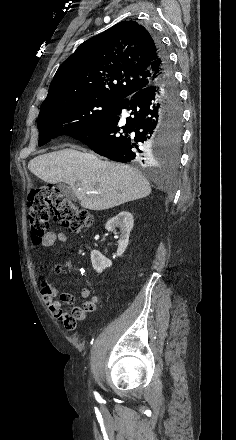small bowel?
I'll return each instance as SVG.
<instances>
[{"label": "small bowel", "instance_id": "small-bowel-1", "mask_svg": "<svg viewBox=\"0 0 236 440\" xmlns=\"http://www.w3.org/2000/svg\"><path fill=\"white\" fill-rule=\"evenodd\" d=\"M67 240L68 238L65 233L63 232L57 233L54 231H49L43 237L41 244L44 248H52L56 245V243L65 244ZM40 288H41L42 299L49 308L50 313L54 317L62 321V319H64L67 315H69L75 320V321H64L63 322L64 330H78L79 329L78 321L85 319L88 314L94 312L99 300L97 296H91V291L88 287H83L79 291V296L82 299H85L83 307H74L71 313H69L65 311L61 305L73 304L75 300V295L73 293L66 291L60 292L57 295L58 297V301H57L54 298L55 294L49 291L45 283L42 282Z\"/></svg>", "mask_w": 236, "mask_h": 440}]
</instances>
